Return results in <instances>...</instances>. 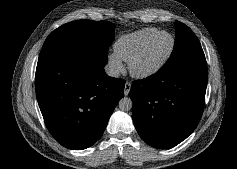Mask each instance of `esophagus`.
Segmentation results:
<instances>
[{
    "mask_svg": "<svg viewBox=\"0 0 237 169\" xmlns=\"http://www.w3.org/2000/svg\"><path fill=\"white\" fill-rule=\"evenodd\" d=\"M131 89V83L130 82H126L125 83V87H124V95H128Z\"/></svg>",
    "mask_w": 237,
    "mask_h": 169,
    "instance_id": "obj_1",
    "label": "esophagus"
}]
</instances>
